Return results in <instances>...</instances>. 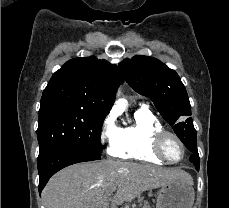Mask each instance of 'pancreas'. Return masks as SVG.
<instances>
[{"mask_svg":"<svg viewBox=\"0 0 229 208\" xmlns=\"http://www.w3.org/2000/svg\"><path fill=\"white\" fill-rule=\"evenodd\" d=\"M142 208H151V206H147V204H145V206H142Z\"/></svg>","mask_w":229,"mask_h":208,"instance_id":"1","label":"pancreas"}]
</instances>
